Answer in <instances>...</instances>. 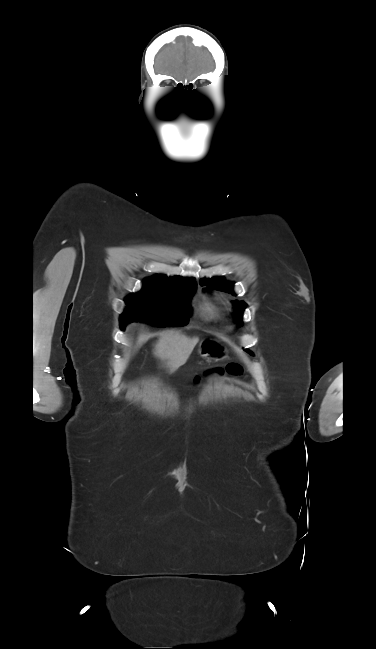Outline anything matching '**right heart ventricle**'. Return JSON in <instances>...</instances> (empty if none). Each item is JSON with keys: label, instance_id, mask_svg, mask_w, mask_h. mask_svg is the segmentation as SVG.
<instances>
[{"label": "right heart ventricle", "instance_id": "right-heart-ventricle-1", "mask_svg": "<svg viewBox=\"0 0 376 649\" xmlns=\"http://www.w3.org/2000/svg\"><path fill=\"white\" fill-rule=\"evenodd\" d=\"M205 308L209 313H214L215 312V307L211 303H207Z\"/></svg>", "mask_w": 376, "mask_h": 649}]
</instances>
